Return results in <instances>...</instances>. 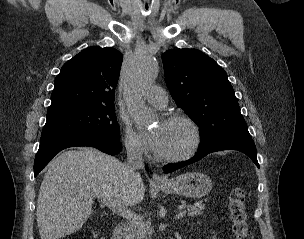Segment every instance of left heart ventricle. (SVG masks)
I'll list each match as a JSON object with an SVG mask.
<instances>
[{
	"mask_svg": "<svg viewBox=\"0 0 304 239\" xmlns=\"http://www.w3.org/2000/svg\"><path fill=\"white\" fill-rule=\"evenodd\" d=\"M163 128L164 135L158 154L170 155L183 151L191 141L190 129L179 122H162L157 129Z\"/></svg>",
	"mask_w": 304,
	"mask_h": 239,
	"instance_id": "left-heart-ventricle-1",
	"label": "left heart ventricle"
}]
</instances>
